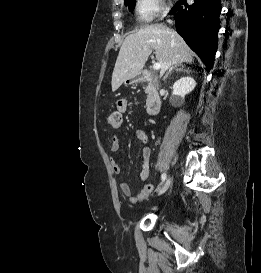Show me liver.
Returning a JSON list of instances; mask_svg holds the SVG:
<instances>
[{"mask_svg":"<svg viewBox=\"0 0 261 273\" xmlns=\"http://www.w3.org/2000/svg\"><path fill=\"white\" fill-rule=\"evenodd\" d=\"M152 50L161 64V75L173 65L194 60L193 52L175 31L161 24L145 26L127 36L120 48L112 74L113 92L126 80L141 74Z\"/></svg>","mask_w":261,"mask_h":273,"instance_id":"obj_1","label":"liver"}]
</instances>
